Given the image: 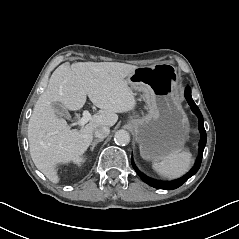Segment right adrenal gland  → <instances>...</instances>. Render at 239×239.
I'll use <instances>...</instances> for the list:
<instances>
[{"instance_id": "2a0ac1e0", "label": "right adrenal gland", "mask_w": 239, "mask_h": 239, "mask_svg": "<svg viewBox=\"0 0 239 239\" xmlns=\"http://www.w3.org/2000/svg\"><path fill=\"white\" fill-rule=\"evenodd\" d=\"M103 139H97L95 140L93 143H92V146L90 147V150L93 152V150L95 149L96 145L99 143V142H102Z\"/></svg>"}]
</instances>
